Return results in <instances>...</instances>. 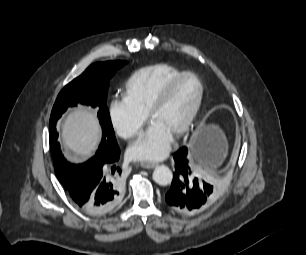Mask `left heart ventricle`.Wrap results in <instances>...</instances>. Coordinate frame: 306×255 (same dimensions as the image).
I'll list each match as a JSON object with an SVG mask.
<instances>
[{
  "instance_id": "obj_1",
  "label": "left heart ventricle",
  "mask_w": 306,
  "mask_h": 255,
  "mask_svg": "<svg viewBox=\"0 0 306 255\" xmlns=\"http://www.w3.org/2000/svg\"><path fill=\"white\" fill-rule=\"evenodd\" d=\"M198 93L197 81L192 77L185 78L176 86L151 121L158 123L174 135L195 104Z\"/></svg>"
}]
</instances>
